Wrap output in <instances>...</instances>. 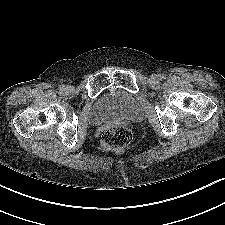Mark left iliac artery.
Here are the masks:
<instances>
[{
  "label": "left iliac artery",
  "mask_w": 225,
  "mask_h": 225,
  "mask_svg": "<svg viewBox=\"0 0 225 225\" xmlns=\"http://www.w3.org/2000/svg\"><path fill=\"white\" fill-rule=\"evenodd\" d=\"M162 79H164L165 78V76L164 75H162V76H160Z\"/></svg>",
  "instance_id": "44dca946"
}]
</instances>
